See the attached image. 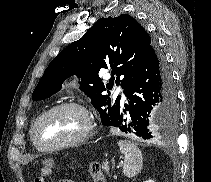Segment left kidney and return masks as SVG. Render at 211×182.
Segmentation results:
<instances>
[{
    "instance_id": "obj_1",
    "label": "left kidney",
    "mask_w": 211,
    "mask_h": 182,
    "mask_svg": "<svg viewBox=\"0 0 211 182\" xmlns=\"http://www.w3.org/2000/svg\"><path fill=\"white\" fill-rule=\"evenodd\" d=\"M145 182H154L153 180H151V179H149V180H147V181H145Z\"/></svg>"
}]
</instances>
